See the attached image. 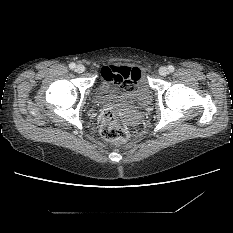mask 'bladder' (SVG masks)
Wrapping results in <instances>:
<instances>
[{
	"label": "bladder",
	"mask_w": 233,
	"mask_h": 233,
	"mask_svg": "<svg viewBox=\"0 0 233 233\" xmlns=\"http://www.w3.org/2000/svg\"><path fill=\"white\" fill-rule=\"evenodd\" d=\"M133 74L137 78L136 86L131 90H124L110 78L101 79L97 85V99L100 102L125 98L131 101H144L150 95V90L145 81L144 70L137 65L132 67Z\"/></svg>",
	"instance_id": "bladder-1"
}]
</instances>
